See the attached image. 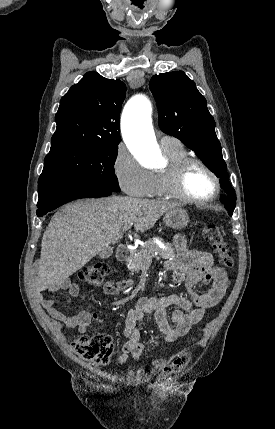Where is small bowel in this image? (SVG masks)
<instances>
[{
  "instance_id": "c3829d8e",
  "label": "small bowel",
  "mask_w": 275,
  "mask_h": 429,
  "mask_svg": "<svg viewBox=\"0 0 275 429\" xmlns=\"http://www.w3.org/2000/svg\"><path fill=\"white\" fill-rule=\"evenodd\" d=\"M174 245L176 256L168 260L165 267L172 273L174 283L185 281L189 297L177 294L156 298L142 297L135 308L128 312L125 320L126 341L122 347V354L118 357L120 364L126 362L129 356L136 360L142 358L144 344L140 341L138 324L146 314L152 313L154 323L165 340L174 342L186 335L191 326L201 320L205 310L216 305L225 293L227 275L224 269L215 265L212 254L201 250H188L186 238L182 234L174 238ZM198 284L207 286V290L198 293L195 290ZM131 285L130 280L109 281L104 286V292L116 295ZM56 287L66 289L72 296L79 295V287L74 282L63 281ZM39 301L52 317L71 328H77L80 333H85L93 321L100 322L97 314L89 308H79L76 314L70 315L58 310L50 298L39 297ZM171 306L175 307L171 314L172 324L166 314V308Z\"/></svg>"
}]
</instances>
